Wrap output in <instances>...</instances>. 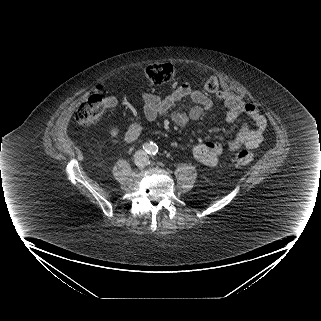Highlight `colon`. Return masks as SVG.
Masks as SVG:
<instances>
[{"label": "colon", "mask_w": 321, "mask_h": 321, "mask_svg": "<svg viewBox=\"0 0 321 321\" xmlns=\"http://www.w3.org/2000/svg\"><path fill=\"white\" fill-rule=\"evenodd\" d=\"M148 81L152 84H163L174 76V68L170 64H152L145 70ZM208 93L219 91V80L215 76L209 77L203 85ZM105 99L100 93L91 94L81 103L75 113V121L79 126L87 127L102 122L105 114ZM253 154L248 150H240L234 154L232 161L236 166L244 167L253 161Z\"/></svg>", "instance_id": "colon-1"}]
</instances>
